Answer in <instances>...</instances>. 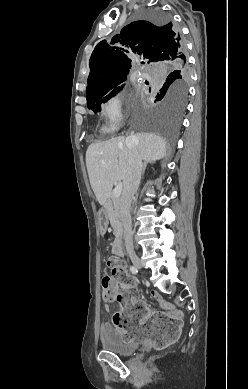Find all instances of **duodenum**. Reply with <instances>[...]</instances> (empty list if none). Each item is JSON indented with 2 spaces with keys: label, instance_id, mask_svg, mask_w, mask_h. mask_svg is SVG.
<instances>
[{
  "label": "duodenum",
  "instance_id": "obj_1",
  "mask_svg": "<svg viewBox=\"0 0 248 389\" xmlns=\"http://www.w3.org/2000/svg\"><path fill=\"white\" fill-rule=\"evenodd\" d=\"M114 252L118 257H122L124 252H123V247H122V241H121V235L119 234L118 239L115 242L114 245Z\"/></svg>",
  "mask_w": 248,
  "mask_h": 389
}]
</instances>
